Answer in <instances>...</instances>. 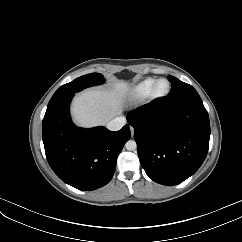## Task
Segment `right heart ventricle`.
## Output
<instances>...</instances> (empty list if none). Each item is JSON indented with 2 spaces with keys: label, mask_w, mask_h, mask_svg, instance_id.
Here are the masks:
<instances>
[{
  "label": "right heart ventricle",
  "mask_w": 242,
  "mask_h": 242,
  "mask_svg": "<svg viewBox=\"0 0 242 242\" xmlns=\"http://www.w3.org/2000/svg\"><path fill=\"white\" fill-rule=\"evenodd\" d=\"M156 79L147 78L139 83H137L130 91L129 96L131 99L140 101L149 96L151 88Z\"/></svg>",
  "instance_id": "right-heart-ventricle-1"
}]
</instances>
